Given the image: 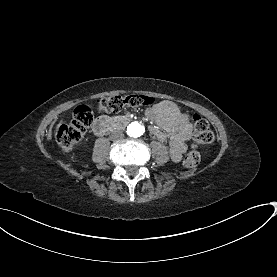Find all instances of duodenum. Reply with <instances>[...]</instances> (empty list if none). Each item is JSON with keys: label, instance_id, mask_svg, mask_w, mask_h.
Wrapping results in <instances>:
<instances>
[{"label": "duodenum", "instance_id": "1", "mask_svg": "<svg viewBox=\"0 0 277 277\" xmlns=\"http://www.w3.org/2000/svg\"><path fill=\"white\" fill-rule=\"evenodd\" d=\"M128 116L120 117H101L97 119L93 125V132L97 136H101L108 131L121 128L130 122Z\"/></svg>", "mask_w": 277, "mask_h": 277}]
</instances>
